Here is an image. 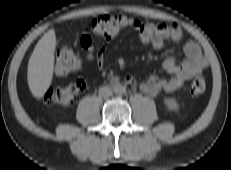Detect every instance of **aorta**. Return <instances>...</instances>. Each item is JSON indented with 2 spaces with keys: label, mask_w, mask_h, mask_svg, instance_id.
<instances>
[{
  "label": "aorta",
  "mask_w": 231,
  "mask_h": 170,
  "mask_svg": "<svg viewBox=\"0 0 231 170\" xmlns=\"http://www.w3.org/2000/svg\"><path fill=\"white\" fill-rule=\"evenodd\" d=\"M113 90L116 94H119V95H122L126 92L125 86L121 83L115 84Z\"/></svg>",
  "instance_id": "1"
}]
</instances>
